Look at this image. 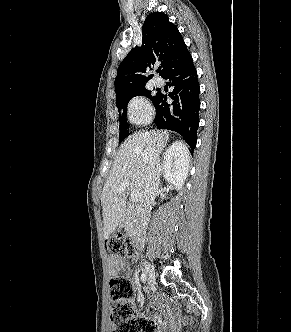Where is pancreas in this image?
I'll return each mask as SVG.
<instances>
[{
  "instance_id": "1",
  "label": "pancreas",
  "mask_w": 291,
  "mask_h": 332,
  "mask_svg": "<svg viewBox=\"0 0 291 332\" xmlns=\"http://www.w3.org/2000/svg\"><path fill=\"white\" fill-rule=\"evenodd\" d=\"M139 223H140V212L135 208L127 210L125 216V225H124L126 232L135 231L138 228Z\"/></svg>"
}]
</instances>
